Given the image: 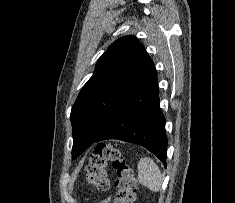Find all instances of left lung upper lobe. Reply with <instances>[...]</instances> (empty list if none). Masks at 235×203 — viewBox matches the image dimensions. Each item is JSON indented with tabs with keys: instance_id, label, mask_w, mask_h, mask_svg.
<instances>
[{
	"instance_id": "1",
	"label": "left lung upper lobe",
	"mask_w": 235,
	"mask_h": 203,
	"mask_svg": "<svg viewBox=\"0 0 235 203\" xmlns=\"http://www.w3.org/2000/svg\"><path fill=\"white\" fill-rule=\"evenodd\" d=\"M152 65L144 46L133 35L119 38L101 55L72 106V158L85 150L80 151L78 134L85 129L100 135Z\"/></svg>"
}]
</instances>
